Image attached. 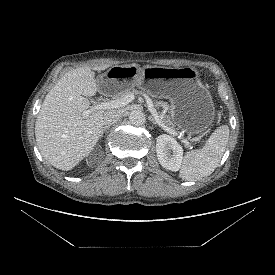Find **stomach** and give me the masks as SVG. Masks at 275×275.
Segmentation results:
<instances>
[{
  "instance_id": "0dacf381",
  "label": "stomach",
  "mask_w": 275,
  "mask_h": 275,
  "mask_svg": "<svg viewBox=\"0 0 275 275\" xmlns=\"http://www.w3.org/2000/svg\"><path fill=\"white\" fill-rule=\"evenodd\" d=\"M97 84L103 93L115 94L137 86L154 96L172 99L174 123L190 134L202 132L214 120L212 96L193 67L113 66L98 77Z\"/></svg>"
}]
</instances>
